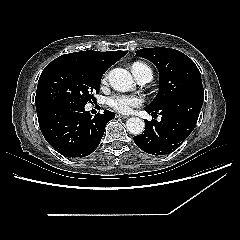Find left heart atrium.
I'll return each instance as SVG.
<instances>
[{"label":"left heart atrium","mask_w":240,"mask_h":240,"mask_svg":"<svg viewBox=\"0 0 240 240\" xmlns=\"http://www.w3.org/2000/svg\"><path fill=\"white\" fill-rule=\"evenodd\" d=\"M142 102L143 98L139 95L114 94L108 99V105L120 113H129Z\"/></svg>","instance_id":"left-heart-atrium-1"}]
</instances>
